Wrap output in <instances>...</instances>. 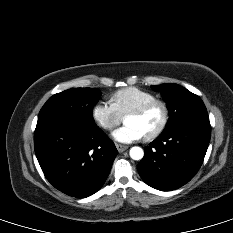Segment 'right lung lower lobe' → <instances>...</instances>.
<instances>
[{
  "label": "right lung lower lobe",
  "instance_id": "1",
  "mask_svg": "<svg viewBox=\"0 0 233 233\" xmlns=\"http://www.w3.org/2000/svg\"><path fill=\"white\" fill-rule=\"evenodd\" d=\"M34 149L47 180L76 198L102 187L117 155L114 142L95 123L68 117L39 120Z\"/></svg>",
  "mask_w": 233,
  "mask_h": 233
}]
</instances>
